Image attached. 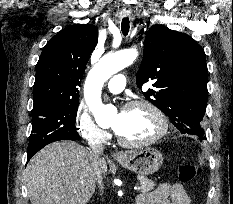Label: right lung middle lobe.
<instances>
[{"instance_id":"1","label":"right lung middle lobe","mask_w":233,"mask_h":204,"mask_svg":"<svg viewBox=\"0 0 233 204\" xmlns=\"http://www.w3.org/2000/svg\"><path fill=\"white\" fill-rule=\"evenodd\" d=\"M78 101L42 105L32 110V133L28 150H40L62 139L79 140L75 128Z\"/></svg>"}]
</instances>
